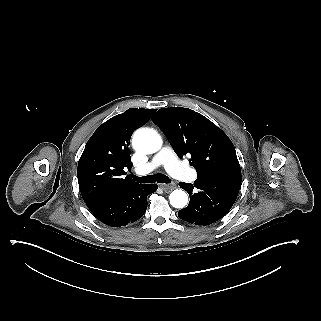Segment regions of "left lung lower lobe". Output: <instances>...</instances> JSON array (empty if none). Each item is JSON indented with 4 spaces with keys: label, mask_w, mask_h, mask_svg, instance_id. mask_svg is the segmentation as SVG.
Masks as SVG:
<instances>
[{
    "label": "left lung lower lobe",
    "mask_w": 321,
    "mask_h": 321,
    "mask_svg": "<svg viewBox=\"0 0 321 321\" xmlns=\"http://www.w3.org/2000/svg\"><path fill=\"white\" fill-rule=\"evenodd\" d=\"M241 171L197 176L194 184L180 182L190 196L189 205L178 212L180 219L195 225H209L221 219L233 206L241 186Z\"/></svg>",
    "instance_id": "1"
}]
</instances>
